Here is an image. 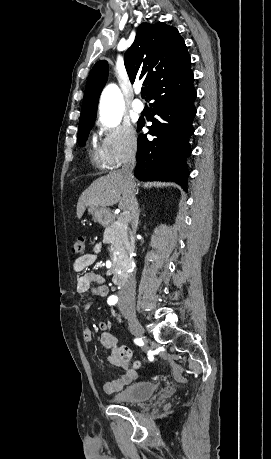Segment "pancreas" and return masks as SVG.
<instances>
[{"mask_svg": "<svg viewBox=\"0 0 271 459\" xmlns=\"http://www.w3.org/2000/svg\"><path fill=\"white\" fill-rule=\"evenodd\" d=\"M128 220L129 218L121 216V218H117L115 224H111L104 231V239L112 241L116 249H119L118 253L121 256H127L130 253V250L127 248V245H129Z\"/></svg>", "mask_w": 271, "mask_h": 459, "instance_id": "obj_1", "label": "pancreas"}]
</instances>
